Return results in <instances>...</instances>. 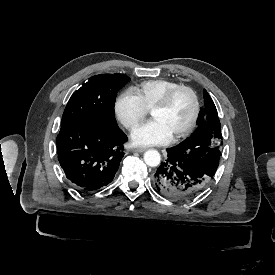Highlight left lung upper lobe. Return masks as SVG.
<instances>
[{
  "label": "left lung upper lobe",
  "mask_w": 275,
  "mask_h": 275,
  "mask_svg": "<svg viewBox=\"0 0 275 275\" xmlns=\"http://www.w3.org/2000/svg\"><path fill=\"white\" fill-rule=\"evenodd\" d=\"M205 107L201 108L197 120V130L175 147L169 148L173 156L189 165L214 175L222 146L221 124L217 109L206 90L203 91Z\"/></svg>",
  "instance_id": "left-lung-upper-lobe-1"
}]
</instances>
